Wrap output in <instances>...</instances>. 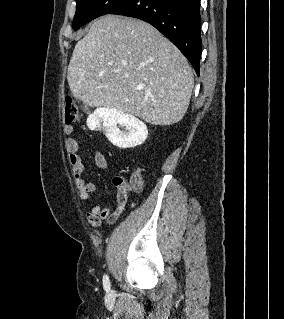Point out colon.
I'll use <instances>...</instances> for the list:
<instances>
[{"label":"colon","instance_id":"5ec220e1","mask_svg":"<svg viewBox=\"0 0 284 319\" xmlns=\"http://www.w3.org/2000/svg\"><path fill=\"white\" fill-rule=\"evenodd\" d=\"M81 113L71 97L65 99V121L67 125L80 121ZM115 184L118 188L138 192L143 186V178L140 173H135L129 182H125L122 178H117Z\"/></svg>","mask_w":284,"mask_h":319}]
</instances>
